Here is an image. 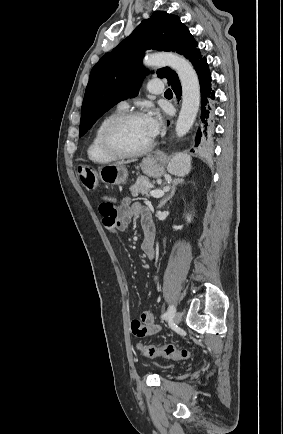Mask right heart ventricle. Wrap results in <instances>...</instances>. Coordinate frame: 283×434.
I'll return each instance as SVG.
<instances>
[{"mask_svg": "<svg viewBox=\"0 0 283 434\" xmlns=\"http://www.w3.org/2000/svg\"><path fill=\"white\" fill-rule=\"evenodd\" d=\"M123 113V109L118 108L117 110L113 111L112 113L106 115L104 118L101 119V121L98 123V125L96 126L93 135L90 139V142L88 144L87 147V155L89 157V159L94 162V163H98V164H107L110 162L115 161L117 158L114 156L109 155L108 153H106L102 146H101V142H100V136H101V132L104 128V126L114 117H116L117 115Z\"/></svg>", "mask_w": 283, "mask_h": 434, "instance_id": "right-heart-ventricle-1", "label": "right heart ventricle"}]
</instances>
